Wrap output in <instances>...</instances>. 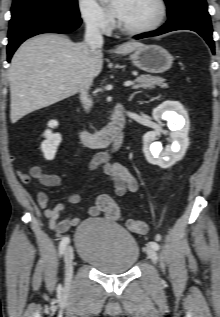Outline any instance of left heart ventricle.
<instances>
[{
    "instance_id": "1",
    "label": "left heart ventricle",
    "mask_w": 220,
    "mask_h": 317,
    "mask_svg": "<svg viewBox=\"0 0 220 317\" xmlns=\"http://www.w3.org/2000/svg\"><path fill=\"white\" fill-rule=\"evenodd\" d=\"M158 13L155 0H128L119 22L128 28H142L152 24L157 19Z\"/></svg>"
}]
</instances>
